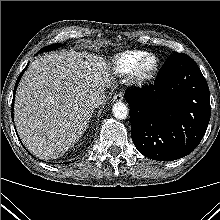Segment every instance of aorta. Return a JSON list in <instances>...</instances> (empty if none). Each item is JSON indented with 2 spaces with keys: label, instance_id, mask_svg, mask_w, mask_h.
Here are the masks:
<instances>
[{
  "label": "aorta",
  "instance_id": "762f6f07",
  "mask_svg": "<svg viewBox=\"0 0 220 220\" xmlns=\"http://www.w3.org/2000/svg\"><path fill=\"white\" fill-rule=\"evenodd\" d=\"M112 113L117 119H126L128 116V107L123 102H117L113 105Z\"/></svg>",
  "mask_w": 220,
  "mask_h": 220
}]
</instances>
